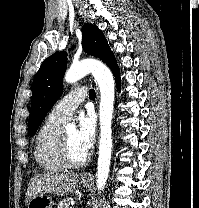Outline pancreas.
I'll list each match as a JSON object with an SVG mask.
<instances>
[{
	"label": "pancreas",
	"mask_w": 199,
	"mask_h": 208,
	"mask_svg": "<svg viewBox=\"0 0 199 208\" xmlns=\"http://www.w3.org/2000/svg\"><path fill=\"white\" fill-rule=\"evenodd\" d=\"M70 202H71V199H64L58 204L57 208H71Z\"/></svg>",
	"instance_id": "1"
}]
</instances>
